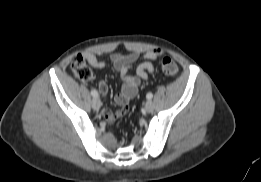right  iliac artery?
Wrapping results in <instances>:
<instances>
[{"label": "right iliac artery", "instance_id": "1", "mask_svg": "<svg viewBox=\"0 0 261 182\" xmlns=\"http://www.w3.org/2000/svg\"><path fill=\"white\" fill-rule=\"evenodd\" d=\"M91 95H92L93 97H98V92H97L95 89H92V90H91Z\"/></svg>", "mask_w": 261, "mask_h": 182}]
</instances>
